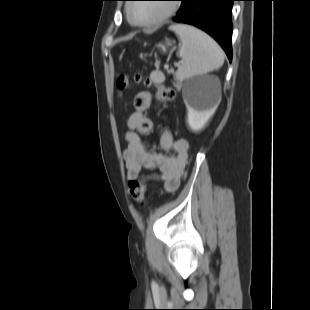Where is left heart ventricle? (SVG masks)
<instances>
[{"instance_id":"1","label":"left heart ventricle","mask_w":310,"mask_h":310,"mask_svg":"<svg viewBox=\"0 0 310 310\" xmlns=\"http://www.w3.org/2000/svg\"><path fill=\"white\" fill-rule=\"evenodd\" d=\"M167 3H136L131 7V15L136 21H151L161 16Z\"/></svg>"}]
</instances>
